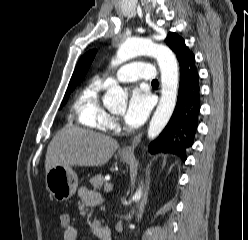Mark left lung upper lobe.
Instances as JSON below:
<instances>
[{
    "mask_svg": "<svg viewBox=\"0 0 248 240\" xmlns=\"http://www.w3.org/2000/svg\"><path fill=\"white\" fill-rule=\"evenodd\" d=\"M165 43L176 54L179 65H181L186 58L192 54L189 48L185 45L184 39L176 33L169 32Z\"/></svg>",
    "mask_w": 248,
    "mask_h": 240,
    "instance_id": "left-lung-upper-lobe-1",
    "label": "left lung upper lobe"
}]
</instances>
